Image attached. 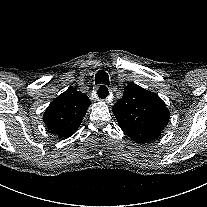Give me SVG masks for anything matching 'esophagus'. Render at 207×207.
Listing matches in <instances>:
<instances>
[{
	"label": "esophagus",
	"instance_id": "1",
	"mask_svg": "<svg viewBox=\"0 0 207 207\" xmlns=\"http://www.w3.org/2000/svg\"><path fill=\"white\" fill-rule=\"evenodd\" d=\"M93 95L96 100H99L102 103L107 102L110 98L109 89L104 84H101L97 88H95Z\"/></svg>",
	"mask_w": 207,
	"mask_h": 207
}]
</instances>
